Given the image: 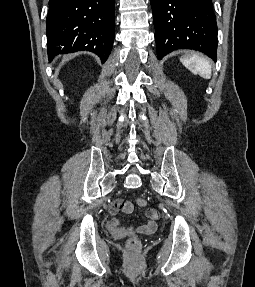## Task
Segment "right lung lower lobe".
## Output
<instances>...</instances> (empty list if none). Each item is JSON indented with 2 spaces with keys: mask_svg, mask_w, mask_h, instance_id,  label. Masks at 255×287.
I'll return each instance as SVG.
<instances>
[{
  "mask_svg": "<svg viewBox=\"0 0 255 287\" xmlns=\"http://www.w3.org/2000/svg\"><path fill=\"white\" fill-rule=\"evenodd\" d=\"M48 57L91 51L104 63L115 36V0H49Z\"/></svg>",
  "mask_w": 255,
  "mask_h": 287,
  "instance_id": "98d812e1",
  "label": "right lung lower lobe"
}]
</instances>
